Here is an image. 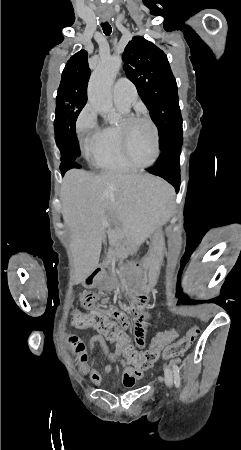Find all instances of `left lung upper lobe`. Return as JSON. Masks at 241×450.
I'll list each match as a JSON object with an SVG mask.
<instances>
[{
    "mask_svg": "<svg viewBox=\"0 0 241 450\" xmlns=\"http://www.w3.org/2000/svg\"><path fill=\"white\" fill-rule=\"evenodd\" d=\"M122 59L126 76L150 110L164 151L183 133L177 84L167 56L153 43L136 36L127 44Z\"/></svg>",
    "mask_w": 241,
    "mask_h": 450,
    "instance_id": "1",
    "label": "left lung upper lobe"
}]
</instances>
